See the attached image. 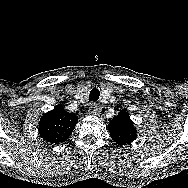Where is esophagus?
<instances>
[{
	"instance_id": "34e87169",
	"label": "esophagus",
	"mask_w": 188,
	"mask_h": 188,
	"mask_svg": "<svg viewBox=\"0 0 188 188\" xmlns=\"http://www.w3.org/2000/svg\"><path fill=\"white\" fill-rule=\"evenodd\" d=\"M88 112L91 115H97L100 112V108L97 104L92 103V104H90Z\"/></svg>"
}]
</instances>
